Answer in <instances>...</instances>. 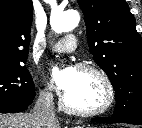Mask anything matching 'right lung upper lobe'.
Returning <instances> with one entry per match:
<instances>
[{
	"instance_id": "obj_1",
	"label": "right lung upper lobe",
	"mask_w": 142,
	"mask_h": 128,
	"mask_svg": "<svg viewBox=\"0 0 142 128\" xmlns=\"http://www.w3.org/2000/svg\"><path fill=\"white\" fill-rule=\"evenodd\" d=\"M32 18V0H0V66L26 63Z\"/></svg>"
}]
</instances>
